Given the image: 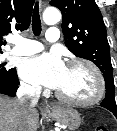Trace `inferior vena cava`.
<instances>
[{
  "label": "inferior vena cava",
  "instance_id": "inferior-vena-cava-1",
  "mask_svg": "<svg viewBox=\"0 0 117 131\" xmlns=\"http://www.w3.org/2000/svg\"><path fill=\"white\" fill-rule=\"evenodd\" d=\"M40 94V86L21 85L17 90V100L23 109H30L37 105Z\"/></svg>",
  "mask_w": 117,
  "mask_h": 131
}]
</instances>
